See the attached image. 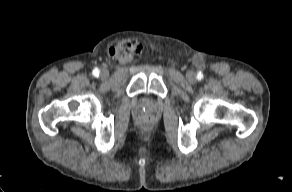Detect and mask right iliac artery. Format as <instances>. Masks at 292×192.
Wrapping results in <instances>:
<instances>
[{
  "label": "right iliac artery",
  "mask_w": 292,
  "mask_h": 192,
  "mask_svg": "<svg viewBox=\"0 0 292 192\" xmlns=\"http://www.w3.org/2000/svg\"><path fill=\"white\" fill-rule=\"evenodd\" d=\"M99 73H100V71H99V69L98 68H95L94 70H93V75L94 76H99Z\"/></svg>",
  "instance_id": "82829eb1"
}]
</instances>
